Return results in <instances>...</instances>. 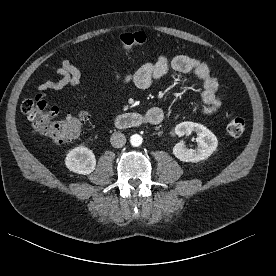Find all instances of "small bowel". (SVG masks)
<instances>
[{
  "mask_svg": "<svg viewBox=\"0 0 276 276\" xmlns=\"http://www.w3.org/2000/svg\"><path fill=\"white\" fill-rule=\"evenodd\" d=\"M114 79L118 87L124 88L134 84L138 89L144 90L150 87L156 79L164 77L169 71L182 74H192L202 83L201 105L195 106L194 111L202 114H212L221 105L218 96L219 82L211 73L209 66L198 59L187 55L168 57L159 56L155 61L146 63L133 74L121 75L114 65L111 66ZM59 76L56 80H48L38 85L39 91L60 90L68 85L79 91L81 73L71 61L64 60L56 70ZM146 115L152 118L163 117V112L158 107H151Z\"/></svg>",
  "mask_w": 276,
  "mask_h": 276,
  "instance_id": "small-bowel-1",
  "label": "small bowel"
}]
</instances>
